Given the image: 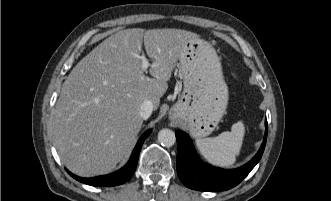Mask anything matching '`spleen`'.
<instances>
[{
	"label": "spleen",
	"instance_id": "3e777b00",
	"mask_svg": "<svg viewBox=\"0 0 331 201\" xmlns=\"http://www.w3.org/2000/svg\"><path fill=\"white\" fill-rule=\"evenodd\" d=\"M244 135V123L238 121L232 125L230 132H223L213 138L196 139V146L209 163L229 167L235 163L240 153Z\"/></svg>",
	"mask_w": 331,
	"mask_h": 201
}]
</instances>
